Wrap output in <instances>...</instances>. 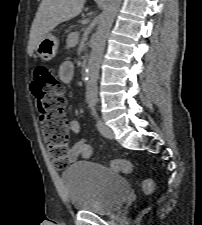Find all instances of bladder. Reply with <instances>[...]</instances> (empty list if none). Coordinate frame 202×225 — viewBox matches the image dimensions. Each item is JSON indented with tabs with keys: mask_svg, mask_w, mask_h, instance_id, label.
Masks as SVG:
<instances>
[{
	"mask_svg": "<svg viewBox=\"0 0 202 225\" xmlns=\"http://www.w3.org/2000/svg\"><path fill=\"white\" fill-rule=\"evenodd\" d=\"M73 210L99 215L115 213L127 197L130 184L107 166L77 162L62 174Z\"/></svg>",
	"mask_w": 202,
	"mask_h": 225,
	"instance_id": "31cf9c89",
	"label": "bladder"
}]
</instances>
